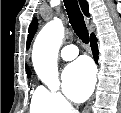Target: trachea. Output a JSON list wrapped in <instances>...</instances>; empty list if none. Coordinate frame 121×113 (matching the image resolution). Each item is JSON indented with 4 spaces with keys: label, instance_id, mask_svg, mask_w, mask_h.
<instances>
[{
    "label": "trachea",
    "instance_id": "obj_1",
    "mask_svg": "<svg viewBox=\"0 0 121 113\" xmlns=\"http://www.w3.org/2000/svg\"><path fill=\"white\" fill-rule=\"evenodd\" d=\"M64 5L74 32L84 43H89V33L77 0H64Z\"/></svg>",
    "mask_w": 121,
    "mask_h": 113
}]
</instances>
